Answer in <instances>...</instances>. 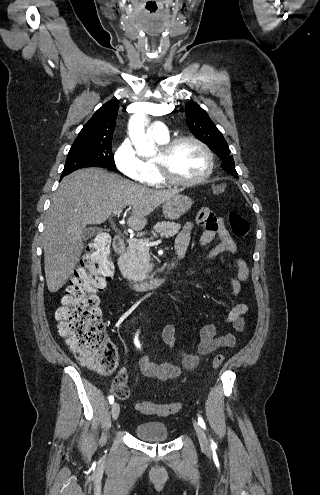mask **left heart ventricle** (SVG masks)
<instances>
[{
    "label": "left heart ventricle",
    "mask_w": 320,
    "mask_h": 495,
    "mask_svg": "<svg viewBox=\"0 0 320 495\" xmlns=\"http://www.w3.org/2000/svg\"><path fill=\"white\" fill-rule=\"evenodd\" d=\"M207 166L205 154L192 142H184L177 146L170 157L171 171L183 179H194L202 176L206 172Z\"/></svg>",
    "instance_id": "obj_1"
}]
</instances>
